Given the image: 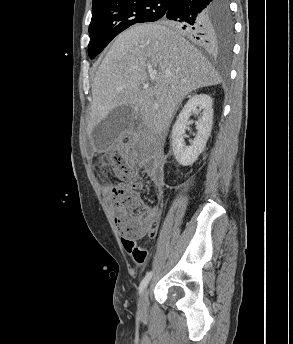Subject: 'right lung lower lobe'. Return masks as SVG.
Listing matches in <instances>:
<instances>
[{"label": "right lung lower lobe", "instance_id": "1", "mask_svg": "<svg viewBox=\"0 0 293 344\" xmlns=\"http://www.w3.org/2000/svg\"><path fill=\"white\" fill-rule=\"evenodd\" d=\"M217 0H170L163 20H173L174 26L197 44L210 48L215 44L213 15Z\"/></svg>", "mask_w": 293, "mask_h": 344}]
</instances>
